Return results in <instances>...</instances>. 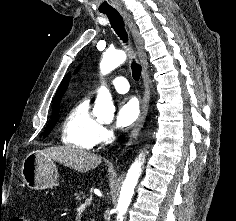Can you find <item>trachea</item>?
<instances>
[{"mask_svg": "<svg viewBox=\"0 0 236 221\" xmlns=\"http://www.w3.org/2000/svg\"><path fill=\"white\" fill-rule=\"evenodd\" d=\"M104 14L107 15L111 27L114 29V31L117 33V35L120 37V39L127 43L128 42V34L124 28V22L122 17L117 11H108L104 12ZM131 70H132V76L135 81H138L141 76V65H139L137 62L133 60L131 64Z\"/></svg>", "mask_w": 236, "mask_h": 221, "instance_id": "3493384b", "label": "trachea"}]
</instances>
